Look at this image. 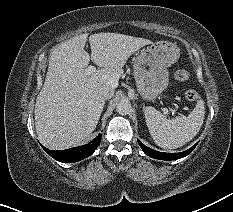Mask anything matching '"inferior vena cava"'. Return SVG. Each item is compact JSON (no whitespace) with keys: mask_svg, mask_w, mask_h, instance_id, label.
<instances>
[{"mask_svg":"<svg viewBox=\"0 0 233 212\" xmlns=\"http://www.w3.org/2000/svg\"><path fill=\"white\" fill-rule=\"evenodd\" d=\"M114 94V90H112L110 87L108 86H102L99 89V95L104 99H110Z\"/></svg>","mask_w":233,"mask_h":212,"instance_id":"inferior-vena-cava-1","label":"inferior vena cava"}]
</instances>
